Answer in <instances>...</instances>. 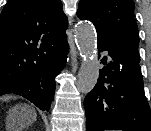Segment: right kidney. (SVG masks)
Listing matches in <instances>:
<instances>
[{
    "mask_svg": "<svg viewBox=\"0 0 151 131\" xmlns=\"http://www.w3.org/2000/svg\"><path fill=\"white\" fill-rule=\"evenodd\" d=\"M14 117L13 116H10V119H13ZM29 123V120L27 121V124ZM10 131H18V129L16 127H12L10 129Z\"/></svg>",
    "mask_w": 151,
    "mask_h": 131,
    "instance_id": "right-kidney-1",
    "label": "right kidney"
}]
</instances>
